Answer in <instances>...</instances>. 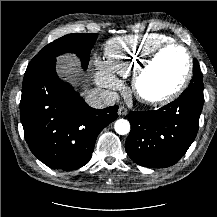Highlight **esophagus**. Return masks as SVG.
Masks as SVG:
<instances>
[{"instance_id":"34e87169","label":"esophagus","mask_w":217,"mask_h":217,"mask_svg":"<svg viewBox=\"0 0 217 217\" xmlns=\"http://www.w3.org/2000/svg\"><path fill=\"white\" fill-rule=\"evenodd\" d=\"M128 114V110L124 106H120L118 109V115L120 116H126Z\"/></svg>"}]
</instances>
